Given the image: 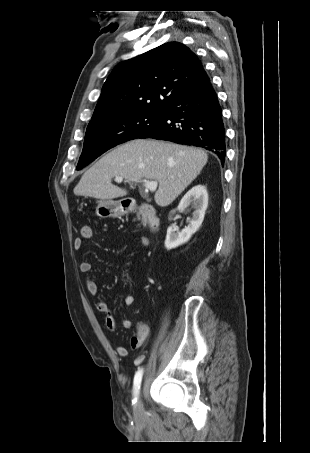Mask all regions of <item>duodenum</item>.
<instances>
[{"mask_svg":"<svg viewBox=\"0 0 310 453\" xmlns=\"http://www.w3.org/2000/svg\"><path fill=\"white\" fill-rule=\"evenodd\" d=\"M129 213L138 212L141 215V218L145 221L147 227L150 231H156L159 227V219L156 215L154 208L148 204L143 205L140 209L136 210L134 208L128 209Z\"/></svg>","mask_w":310,"mask_h":453,"instance_id":"duodenum-1","label":"duodenum"}]
</instances>
